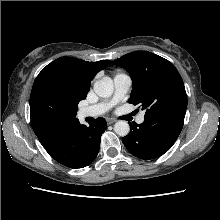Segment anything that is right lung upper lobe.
I'll use <instances>...</instances> for the list:
<instances>
[{
  "label": "right lung upper lobe",
  "mask_w": 220,
  "mask_h": 220,
  "mask_svg": "<svg viewBox=\"0 0 220 220\" xmlns=\"http://www.w3.org/2000/svg\"><path fill=\"white\" fill-rule=\"evenodd\" d=\"M109 63V60L87 62L71 57H61L43 68L37 76L35 82L45 77H59L67 79L73 85L71 89L72 95L77 100L81 101L87 96V93L90 89L91 80ZM76 120L78 119L76 118ZM32 127L43 147L53 142L60 135L62 130L66 128L65 127L60 130H45L34 125H32Z\"/></svg>",
  "instance_id": "obj_1"
}]
</instances>
